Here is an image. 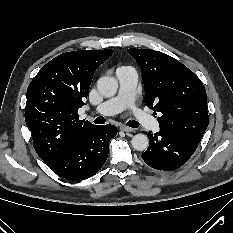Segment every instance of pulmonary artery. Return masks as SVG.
<instances>
[{
    "instance_id": "pulmonary-artery-1",
    "label": "pulmonary artery",
    "mask_w": 233,
    "mask_h": 233,
    "mask_svg": "<svg viewBox=\"0 0 233 233\" xmlns=\"http://www.w3.org/2000/svg\"><path fill=\"white\" fill-rule=\"evenodd\" d=\"M116 77L119 82L117 95L97 106L93 114L110 116L129 109L138 123L145 129L157 131L159 129L158 122L151 115L141 111L136 106L137 72L131 67H120L116 71Z\"/></svg>"
}]
</instances>
